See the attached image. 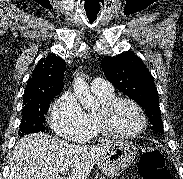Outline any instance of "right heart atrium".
<instances>
[{
	"instance_id": "1",
	"label": "right heart atrium",
	"mask_w": 183,
	"mask_h": 179,
	"mask_svg": "<svg viewBox=\"0 0 183 179\" xmlns=\"http://www.w3.org/2000/svg\"><path fill=\"white\" fill-rule=\"evenodd\" d=\"M51 126L66 140L82 141L91 133V124L76 98L64 93L51 109Z\"/></svg>"
}]
</instances>
